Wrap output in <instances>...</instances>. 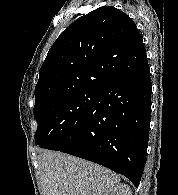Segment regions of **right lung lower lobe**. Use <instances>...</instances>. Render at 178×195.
<instances>
[{
    "label": "right lung lower lobe",
    "instance_id": "right-lung-lower-lobe-1",
    "mask_svg": "<svg viewBox=\"0 0 178 195\" xmlns=\"http://www.w3.org/2000/svg\"><path fill=\"white\" fill-rule=\"evenodd\" d=\"M151 91L148 63L101 87L90 110L53 150L101 164L137 187L146 163Z\"/></svg>",
    "mask_w": 178,
    "mask_h": 195
}]
</instances>
